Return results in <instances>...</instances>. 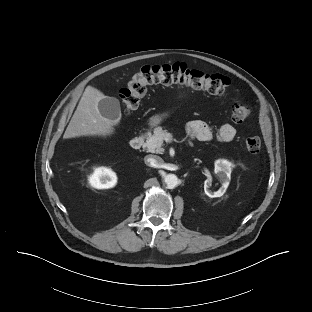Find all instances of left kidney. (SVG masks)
<instances>
[{
  "mask_svg": "<svg viewBox=\"0 0 312 312\" xmlns=\"http://www.w3.org/2000/svg\"><path fill=\"white\" fill-rule=\"evenodd\" d=\"M231 167H233V165L227 160H217L215 162L214 172L222 182V188H220L216 192H213L212 190H210L211 181L207 179L204 183V191L207 196L215 198L221 197L224 194L230 182Z\"/></svg>",
  "mask_w": 312,
  "mask_h": 312,
  "instance_id": "1",
  "label": "left kidney"
}]
</instances>
